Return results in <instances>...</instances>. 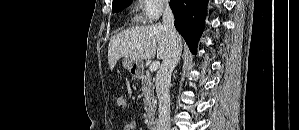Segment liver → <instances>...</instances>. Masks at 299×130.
I'll return each instance as SVG.
<instances>
[{
  "label": "liver",
  "mask_w": 299,
  "mask_h": 130,
  "mask_svg": "<svg viewBox=\"0 0 299 130\" xmlns=\"http://www.w3.org/2000/svg\"><path fill=\"white\" fill-rule=\"evenodd\" d=\"M169 52L168 33L162 24L128 28L111 37L108 62L112 70L122 57L135 60L157 58L164 60Z\"/></svg>",
  "instance_id": "obj_1"
}]
</instances>
